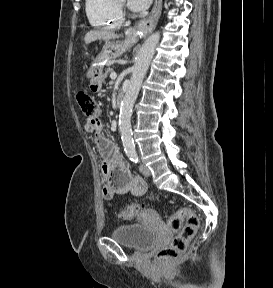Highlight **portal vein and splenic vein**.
<instances>
[{"instance_id": "1", "label": "portal vein and splenic vein", "mask_w": 273, "mask_h": 288, "mask_svg": "<svg viewBox=\"0 0 273 288\" xmlns=\"http://www.w3.org/2000/svg\"><path fill=\"white\" fill-rule=\"evenodd\" d=\"M116 77H117V74H116L115 72H112V73L110 74V78H111L112 80L116 79Z\"/></svg>"}]
</instances>
